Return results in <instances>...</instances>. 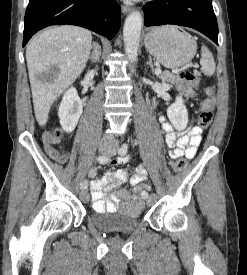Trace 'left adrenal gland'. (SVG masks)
Masks as SVG:
<instances>
[{"mask_svg": "<svg viewBox=\"0 0 247 275\" xmlns=\"http://www.w3.org/2000/svg\"><path fill=\"white\" fill-rule=\"evenodd\" d=\"M147 65L150 66L152 72H155L151 56H149V61L147 62Z\"/></svg>", "mask_w": 247, "mask_h": 275, "instance_id": "left-adrenal-gland-1", "label": "left adrenal gland"}]
</instances>
